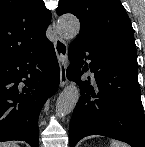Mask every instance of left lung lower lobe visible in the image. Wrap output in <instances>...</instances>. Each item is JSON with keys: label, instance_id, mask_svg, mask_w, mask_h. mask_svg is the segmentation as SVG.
<instances>
[{"label": "left lung lower lobe", "instance_id": "obj_1", "mask_svg": "<svg viewBox=\"0 0 145 147\" xmlns=\"http://www.w3.org/2000/svg\"><path fill=\"white\" fill-rule=\"evenodd\" d=\"M68 55L67 77L81 90L69 127L71 147L89 135L108 136L132 147H145L136 49L76 39ZM87 70L94 77L82 81L81 76Z\"/></svg>", "mask_w": 145, "mask_h": 147}]
</instances>
